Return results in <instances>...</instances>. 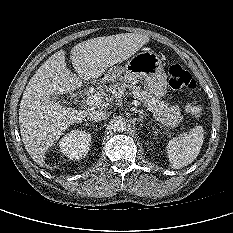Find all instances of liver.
Masks as SVG:
<instances>
[{"instance_id": "1", "label": "liver", "mask_w": 233, "mask_h": 233, "mask_svg": "<svg viewBox=\"0 0 233 233\" xmlns=\"http://www.w3.org/2000/svg\"><path fill=\"white\" fill-rule=\"evenodd\" d=\"M149 40L145 35L123 33L78 43L70 52L77 74L67 68L64 50L54 53L39 67L23 93L19 124L25 149L40 167H44L45 153L55 140L71 125L81 123L92 110L64 107L54 97L75 91L82 86V80L100 77Z\"/></svg>"}]
</instances>
